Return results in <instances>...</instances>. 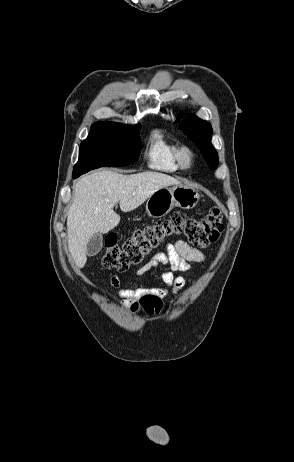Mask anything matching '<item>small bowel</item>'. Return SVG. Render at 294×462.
<instances>
[{"instance_id":"1","label":"small bowel","mask_w":294,"mask_h":462,"mask_svg":"<svg viewBox=\"0 0 294 462\" xmlns=\"http://www.w3.org/2000/svg\"><path fill=\"white\" fill-rule=\"evenodd\" d=\"M205 254L199 249L192 248L185 242L178 240L166 247L165 252L156 253L151 259L141 266L136 275H143L153 269L166 267L161 274L165 284L162 288L147 289H122L117 276H112L110 285L117 289L118 295L125 299V302L141 297L143 294H151L157 297L175 295L189 281L185 276H176L175 272H187L191 269L192 263H200L205 260Z\"/></svg>"}]
</instances>
